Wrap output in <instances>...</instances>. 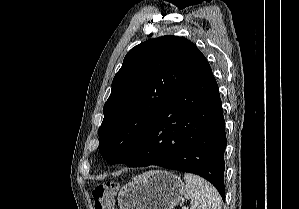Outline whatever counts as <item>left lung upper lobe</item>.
<instances>
[{
  "instance_id": "1",
  "label": "left lung upper lobe",
  "mask_w": 299,
  "mask_h": 209,
  "mask_svg": "<svg viewBox=\"0 0 299 209\" xmlns=\"http://www.w3.org/2000/svg\"><path fill=\"white\" fill-rule=\"evenodd\" d=\"M208 65L192 42L166 35L132 48L112 82L99 128V151L110 164L128 162L163 104Z\"/></svg>"
}]
</instances>
